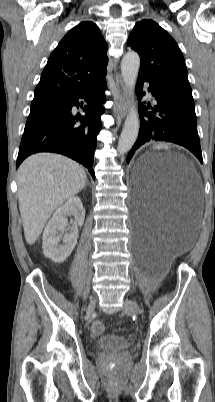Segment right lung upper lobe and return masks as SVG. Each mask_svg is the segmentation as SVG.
Wrapping results in <instances>:
<instances>
[{"label":"right lung upper lobe","instance_id":"right-lung-upper-lobe-1","mask_svg":"<svg viewBox=\"0 0 215 402\" xmlns=\"http://www.w3.org/2000/svg\"><path fill=\"white\" fill-rule=\"evenodd\" d=\"M107 44L99 28L82 22L51 53L32 102L62 100L94 85L106 74Z\"/></svg>","mask_w":215,"mask_h":402}]
</instances>
